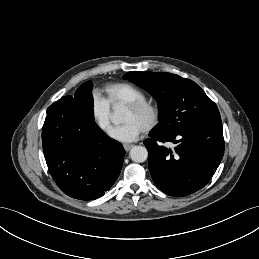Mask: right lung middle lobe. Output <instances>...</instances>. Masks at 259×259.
Returning <instances> with one entry per match:
<instances>
[{
  "label": "right lung middle lobe",
  "instance_id": "1",
  "mask_svg": "<svg viewBox=\"0 0 259 259\" xmlns=\"http://www.w3.org/2000/svg\"><path fill=\"white\" fill-rule=\"evenodd\" d=\"M92 88V82L87 81L78 88L74 98L72 97L82 115L88 120H94Z\"/></svg>",
  "mask_w": 259,
  "mask_h": 259
}]
</instances>
